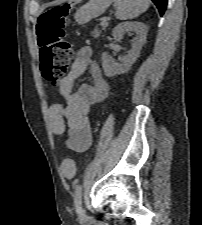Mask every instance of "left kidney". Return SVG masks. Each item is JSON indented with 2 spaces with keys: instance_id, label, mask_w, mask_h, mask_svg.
Here are the masks:
<instances>
[{
  "instance_id": "1",
  "label": "left kidney",
  "mask_w": 202,
  "mask_h": 225,
  "mask_svg": "<svg viewBox=\"0 0 202 225\" xmlns=\"http://www.w3.org/2000/svg\"><path fill=\"white\" fill-rule=\"evenodd\" d=\"M127 31L135 32L136 37L132 40L131 50L122 57L120 62H115L106 52L102 54V67L108 77L126 73L139 57L142 46L146 42L148 26L142 22L120 23L114 28L112 35L114 38L120 39L122 34Z\"/></svg>"
}]
</instances>
